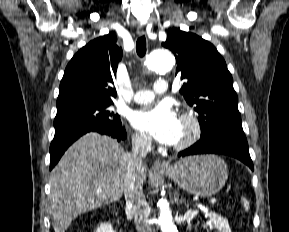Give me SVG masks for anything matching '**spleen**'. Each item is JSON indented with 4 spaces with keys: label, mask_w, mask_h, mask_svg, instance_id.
Returning <instances> with one entry per match:
<instances>
[{
    "label": "spleen",
    "mask_w": 289,
    "mask_h": 232,
    "mask_svg": "<svg viewBox=\"0 0 289 232\" xmlns=\"http://www.w3.org/2000/svg\"><path fill=\"white\" fill-rule=\"evenodd\" d=\"M242 202L246 209L249 208V202L245 198H242Z\"/></svg>",
    "instance_id": "3e777b00"
}]
</instances>
